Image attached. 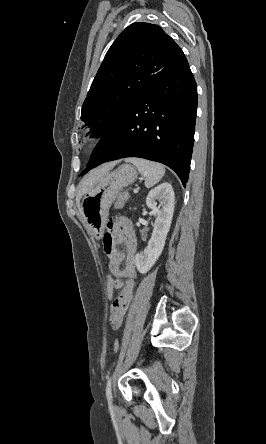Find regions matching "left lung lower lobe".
<instances>
[{"mask_svg":"<svg viewBox=\"0 0 266 444\" xmlns=\"http://www.w3.org/2000/svg\"><path fill=\"white\" fill-rule=\"evenodd\" d=\"M196 111L197 86L185 57L106 133L83 174L106 161L140 157L167 165L185 187Z\"/></svg>","mask_w":266,"mask_h":444,"instance_id":"0a47b994","label":"left lung lower lobe"}]
</instances>
